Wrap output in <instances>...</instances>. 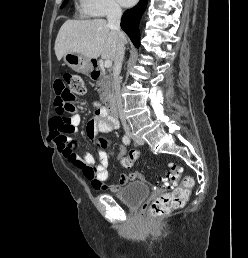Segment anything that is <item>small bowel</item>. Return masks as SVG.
I'll use <instances>...</instances> for the list:
<instances>
[{"mask_svg": "<svg viewBox=\"0 0 248 258\" xmlns=\"http://www.w3.org/2000/svg\"><path fill=\"white\" fill-rule=\"evenodd\" d=\"M54 91L56 94L54 104L56 105L63 95H68V91L64 86L61 79H58L54 83ZM95 107V116L87 123L86 132L90 140H94L98 133H107L116 129L118 123L115 119L110 118L107 115L106 109L98 102H93ZM52 121V120H51ZM80 124V116L75 113L71 117V125L73 130L68 133L74 132L78 129ZM68 133H63L55 128L51 123V138L56 142L57 148L61 155L69 163L75 167L81 169L84 173L86 169H92L94 176L87 177V179L92 183L93 187L98 190H110L112 192H117L127 184L129 181L138 178L137 172H130L128 174H122L118 184L108 185L106 181L108 180L109 174L107 170L108 154L104 151L99 152V162L97 163L94 157L88 153L83 152L79 154L77 150L79 149V143L73 140Z\"/></svg>", "mask_w": 248, "mask_h": 258, "instance_id": "1", "label": "small bowel"}]
</instances>
